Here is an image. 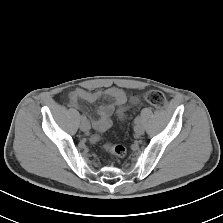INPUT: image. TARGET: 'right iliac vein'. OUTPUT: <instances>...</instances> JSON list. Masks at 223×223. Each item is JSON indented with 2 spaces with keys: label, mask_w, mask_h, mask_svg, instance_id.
Listing matches in <instances>:
<instances>
[{
  "label": "right iliac vein",
  "mask_w": 223,
  "mask_h": 223,
  "mask_svg": "<svg viewBox=\"0 0 223 223\" xmlns=\"http://www.w3.org/2000/svg\"><path fill=\"white\" fill-rule=\"evenodd\" d=\"M80 129L83 132H88L90 130V124L87 120H82L81 124H80Z\"/></svg>",
  "instance_id": "obj_1"
}]
</instances>
